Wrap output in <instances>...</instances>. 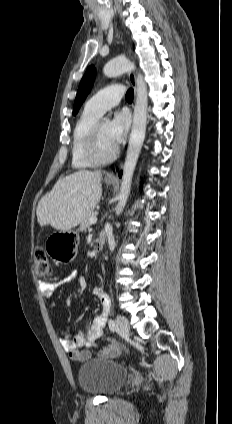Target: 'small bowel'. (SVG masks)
<instances>
[{"instance_id":"obj_1","label":"small bowel","mask_w":232,"mask_h":424,"mask_svg":"<svg viewBox=\"0 0 232 424\" xmlns=\"http://www.w3.org/2000/svg\"><path fill=\"white\" fill-rule=\"evenodd\" d=\"M78 272L76 270L71 271L62 282L68 283L77 278ZM39 289L45 298H50L55 289V284L49 281H41L39 283ZM94 294L98 297L103 308H106L110 304V299L106 292L101 287L94 289ZM105 325V316L100 315L94 319L90 324H84L80 331L71 335L65 332L61 340V344L66 353L69 354L70 358L77 362L86 361L91 357L89 349L95 345V341L101 336L102 329ZM120 351L110 347H107L101 352L103 356H116Z\"/></svg>"}]
</instances>
